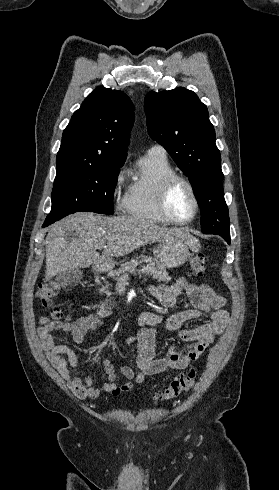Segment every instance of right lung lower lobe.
Returning <instances> with one entry per match:
<instances>
[{
    "mask_svg": "<svg viewBox=\"0 0 279 490\" xmlns=\"http://www.w3.org/2000/svg\"><path fill=\"white\" fill-rule=\"evenodd\" d=\"M48 225H50V224H46V223H44V224H43V227H46V226H48Z\"/></svg>",
    "mask_w": 279,
    "mask_h": 490,
    "instance_id": "obj_1",
    "label": "right lung lower lobe"
}]
</instances>
